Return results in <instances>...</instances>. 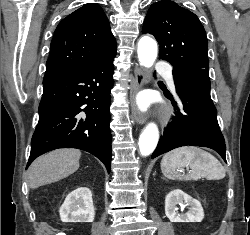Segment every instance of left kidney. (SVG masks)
<instances>
[{"instance_id": "5707ae66", "label": "left kidney", "mask_w": 250, "mask_h": 235, "mask_svg": "<svg viewBox=\"0 0 250 235\" xmlns=\"http://www.w3.org/2000/svg\"><path fill=\"white\" fill-rule=\"evenodd\" d=\"M184 203L189 206V210L180 214L177 205L184 208ZM165 214L171 222H201L204 218L201 203L180 189H175L166 196Z\"/></svg>"}]
</instances>
